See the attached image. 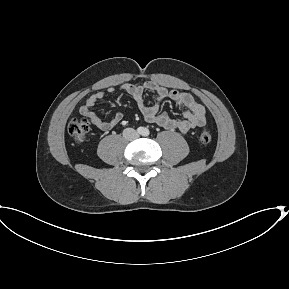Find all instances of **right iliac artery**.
Instances as JSON below:
<instances>
[{
  "label": "right iliac artery",
  "mask_w": 289,
  "mask_h": 289,
  "mask_svg": "<svg viewBox=\"0 0 289 289\" xmlns=\"http://www.w3.org/2000/svg\"><path fill=\"white\" fill-rule=\"evenodd\" d=\"M137 132H138L139 134H142V133L144 132V129H143L142 127H139V128L137 129Z\"/></svg>",
  "instance_id": "right-iliac-artery-1"
}]
</instances>
